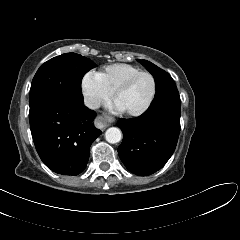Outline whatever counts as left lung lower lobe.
Wrapping results in <instances>:
<instances>
[{
    "label": "left lung lower lobe",
    "instance_id": "obj_1",
    "mask_svg": "<svg viewBox=\"0 0 240 240\" xmlns=\"http://www.w3.org/2000/svg\"><path fill=\"white\" fill-rule=\"evenodd\" d=\"M180 116V103L165 102L140 117L119 120L123 141L118 154L130 172L147 176L166 164L176 148Z\"/></svg>",
    "mask_w": 240,
    "mask_h": 240
}]
</instances>
